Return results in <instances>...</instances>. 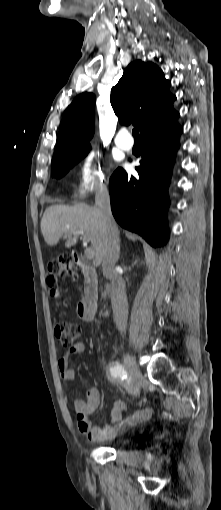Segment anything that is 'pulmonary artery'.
<instances>
[{
	"mask_svg": "<svg viewBox=\"0 0 221 510\" xmlns=\"http://www.w3.org/2000/svg\"><path fill=\"white\" fill-rule=\"evenodd\" d=\"M115 143L124 150H130L133 146V140L127 131H120L115 136Z\"/></svg>",
	"mask_w": 221,
	"mask_h": 510,
	"instance_id": "1",
	"label": "pulmonary artery"
}]
</instances>
